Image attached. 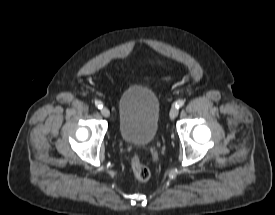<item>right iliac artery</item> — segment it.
<instances>
[{
  "label": "right iliac artery",
  "instance_id": "obj_1",
  "mask_svg": "<svg viewBox=\"0 0 275 215\" xmlns=\"http://www.w3.org/2000/svg\"><path fill=\"white\" fill-rule=\"evenodd\" d=\"M95 106L101 109L103 107V103L99 100L95 101Z\"/></svg>",
  "mask_w": 275,
  "mask_h": 215
}]
</instances>
